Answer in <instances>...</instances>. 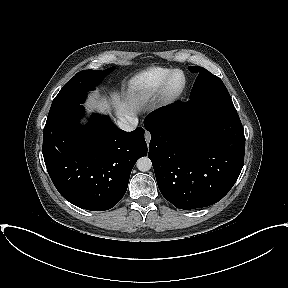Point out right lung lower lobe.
Wrapping results in <instances>:
<instances>
[{"instance_id":"98d812e1","label":"right lung lower lobe","mask_w":288,"mask_h":288,"mask_svg":"<svg viewBox=\"0 0 288 288\" xmlns=\"http://www.w3.org/2000/svg\"><path fill=\"white\" fill-rule=\"evenodd\" d=\"M83 112L78 105L47 119L45 165L67 201L86 210H108L123 198L136 161L147 155L144 130L125 132L98 114L81 128Z\"/></svg>"}]
</instances>
